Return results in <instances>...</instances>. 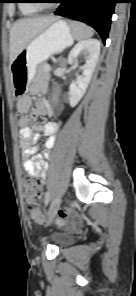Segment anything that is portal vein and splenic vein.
<instances>
[{
	"instance_id": "1",
	"label": "portal vein and splenic vein",
	"mask_w": 136,
	"mask_h": 296,
	"mask_svg": "<svg viewBox=\"0 0 136 296\" xmlns=\"http://www.w3.org/2000/svg\"><path fill=\"white\" fill-rule=\"evenodd\" d=\"M47 70L50 71V67H48Z\"/></svg>"
}]
</instances>
